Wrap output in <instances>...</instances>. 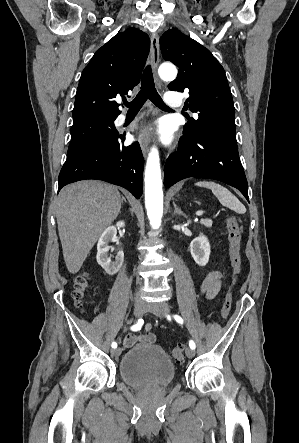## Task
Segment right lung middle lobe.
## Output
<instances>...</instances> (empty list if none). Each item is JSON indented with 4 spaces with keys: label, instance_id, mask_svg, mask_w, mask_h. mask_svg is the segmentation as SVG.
Wrapping results in <instances>:
<instances>
[{
    "label": "right lung middle lobe",
    "instance_id": "right-lung-middle-lobe-1",
    "mask_svg": "<svg viewBox=\"0 0 299 443\" xmlns=\"http://www.w3.org/2000/svg\"><path fill=\"white\" fill-rule=\"evenodd\" d=\"M115 119L116 117L103 116L74 123L67 157L75 155L93 143L110 139L118 132L114 125Z\"/></svg>",
    "mask_w": 299,
    "mask_h": 443
}]
</instances>
